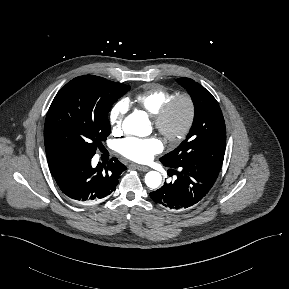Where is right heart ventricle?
<instances>
[{
    "mask_svg": "<svg viewBox=\"0 0 289 289\" xmlns=\"http://www.w3.org/2000/svg\"><path fill=\"white\" fill-rule=\"evenodd\" d=\"M175 92L166 86L152 84L135 96L137 104L151 115L158 111L161 105Z\"/></svg>",
    "mask_w": 289,
    "mask_h": 289,
    "instance_id": "right-heart-ventricle-1",
    "label": "right heart ventricle"
}]
</instances>
